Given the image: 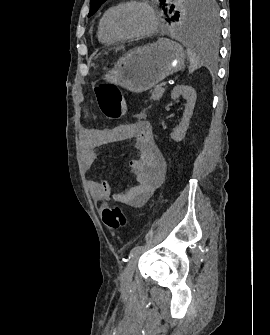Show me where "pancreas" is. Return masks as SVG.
<instances>
[{
	"label": "pancreas",
	"mask_w": 270,
	"mask_h": 335,
	"mask_svg": "<svg viewBox=\"0 0 270 335\" xmlns=\"http://www.w3.org/2000/svg\"><path fill=\"white\" fill-rule=\"evenodd\" d=\"M165 88H162V84L159 86H155L154 90H151V98L150 100H160L164 94Z\"/></svg>",
	"instance_id": "pancreas-1"
}]
</instances>
